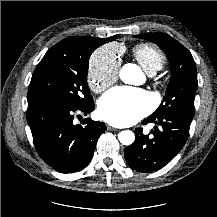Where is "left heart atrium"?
<instances>
[{"instance_id": "obj_1", "label": "left heart atrium", "mask_w": 217, "mask_h": 217, "mask_svg": "<svg viewBox=\"0 0 217 217\" xmlns=\"http://www.w3.org/2000/svg\"><path fill=\"white\" fill-rule=\"evenodd\" d=\"M151 107L148 92L119 86L106 92L98 105L100 117L113 125L126 126L140 120Z\"/></svg>"}]
</instances>
